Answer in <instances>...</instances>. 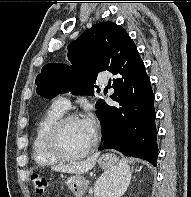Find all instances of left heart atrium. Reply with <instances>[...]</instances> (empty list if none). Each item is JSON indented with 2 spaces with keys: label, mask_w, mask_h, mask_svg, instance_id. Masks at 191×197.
Wrapping results in <instances>:
<instances>
[{
  "label": "left heart atrium",
  "mask_w": 191,
  "mask_h": 197,
  "mask_svg": "<svg viewBox=\"0 0 191 197\" xmlns=\"http://www.w3.org/2000/svg\"><path fill=\"white\" fill-rule=\"evenodd\" d=\"M83 127L87 133L94 137L97 130V121L93 114H88L82 121Z\"/></svg>",
  "instance_id": "1"
}]
</instances>
